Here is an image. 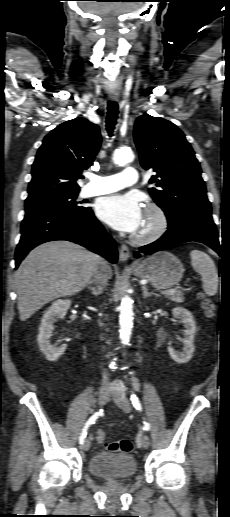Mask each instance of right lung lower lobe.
<instances>
[{
  "instance_id": "98d812e1",
  "label": "right lung lower lobe",
  "mask_w": 230,
  "mask_h": 517,
  "mask_svg": "<svg viewBox=\"0 0 230 517\" xmlns=\"http://www.w3.org/2000/svg\"><path fill=\"white\" fill-rule=\"evenodd\" d=\"M53 240L80 244L112 263L117 262L116 243L90 208L82 212L46 209L26 212L21 224V239L15 252L16 268L31 249Z\"/></svg>"
}]
</instances>
